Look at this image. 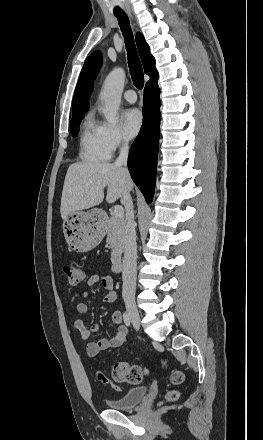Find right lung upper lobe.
I'll use <instances>...</instances> for the list:
<instances>
[{
	"mask_svg": "<svg viewBox=\"0 0 263 440\" xmlns=\"http://www.w3.org/2000/svg\"><path fill=\"white\" fill-rule=\"evenodd\" d=\"M136 43L144 66V71L150 76V80L158 78L155 68V59L150 53V48L141 33L136 35ZM102 54L100 51L93 52L85 61L78 84L73 97L72 117L85 114L89 108V98L93 88V81L101 67Z\"/></svg>",
	"mask_w": 263,
	"mask_h": 440,
	"instance_id": "right-lung-upper-lobe-1",
	"label": "right lung upper lobe"
}]
</instances>
